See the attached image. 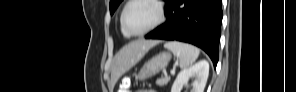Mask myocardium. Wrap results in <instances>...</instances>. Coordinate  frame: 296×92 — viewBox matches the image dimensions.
<instances>
[{"mask_svg":"<svg viewBox=\"0 0 296 92\" xmlns=\"http://www.w3.org/2000/svg\"><path fill=\"white\" fill-rule=\"evenodd\" d=\"M137 1H148V2H151L153 3L156 7H157V10H158V18L157 20L150 26L148 27L147 29L143 30V31H140V32H132L130 30H128L127 26H126V21H125V14H126V11L128 9V7L134 3V2H137ZM165 19V9H164V6H163V3L161 1H158V0H130L126 3V5L124 6L123 8V11L121 13V18H120V21H121V27L123 29V31L129 35V36H133V37H139V36H143V35H146L147 33L153 31L154 29H156L157 27H159L162 22L164 21Z\"/></svg>","mask_w":296,"mask_h":92,"instance_id":"f54148a6","label":"myocardium"}]
</instances>
